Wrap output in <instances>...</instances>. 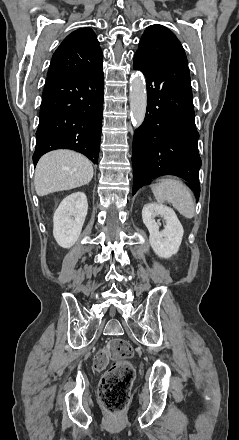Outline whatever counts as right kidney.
<instances>
[{
  "instance_id": "1",
  "label": "right kidney",
  "mask_w": 239,
  "mask_h": 440,
  "mask_svg": "<svg viewBox=\"0 0 239 440\" xmlns=\"http://www.w3.org/2000/svg\"><path fill=\"white\" fill-rule=\"evenodd\" d=\"M87 210L88 202L83 192H74L62 200L53 218V236L61 248L75 246L81 234Z\"/></svg>"
}]
</instances>
